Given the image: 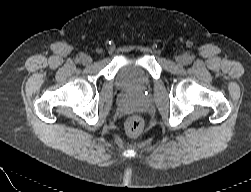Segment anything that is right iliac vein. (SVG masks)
I'll return each instance as SVG.
<instances>
[{
  "label": "right iliac vein",
  "mask_w": 251,
  "mask_h": 192,
  "mask_svg": "<svg viewBox=\"0 0 251 192\" xmlns=\"http://www.w3.org/2000/svg\"><path fill=\"white\" fill-rule=\"evenodd\" d=\"M92 62V58L90 56H84L83 57V63L84 64H90Z\"/></svg>",
  "instance_id": "obj_1"
}]
</instances>
